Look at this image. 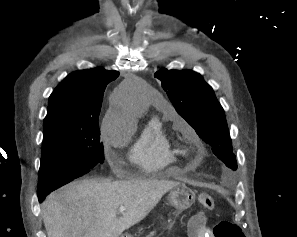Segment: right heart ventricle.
<instances>
[{
	"label": "right heart ventricle",
	"instance_id": "1",
	"mask_svg": "<svg viewBox=\"0 0 297 237\" xmlns=\"http://www.w3.org/2000/svg\"><path fill=\"white\" fill-rule=\"evenodd\" d=\"M169 116L168 106L161 110ZM186 156V150L171 140L160 117L151 118L141 129L131 146V161L146 172H156L179 162Z\"/></svg>",
	"mask_w": 297,
	"mask_h": 237
}]
</instances>
